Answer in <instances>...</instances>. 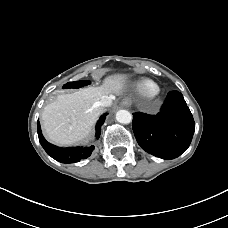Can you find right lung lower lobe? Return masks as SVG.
<instances>
[{"instance_id":"obj_1","label":"right lung lower lobe","mask_w":228,"mask_h":228,"mask_svg":"<svg viewBox=\"0 0 228 228\" xmlns=\"http://www.w3.org/2000/svg\"><path fill=\"white\" fill-rule=\"evenodd\" d=\"M103 114L96 124V137L98 138L101 132V125L104 123L106 115ZM38 136L39 141L49 156L62 163H75L81 159L89 157L94 150V146L74 147V148H60L48 143L42 135L40 123L38 122Z\"/></svg>"}]
</instances>
